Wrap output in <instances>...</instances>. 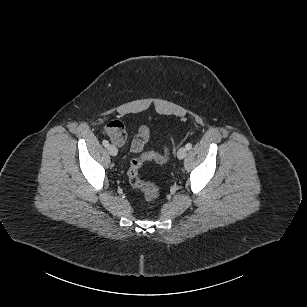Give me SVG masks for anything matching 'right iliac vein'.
<instances>
[{
	"instance_id": "right-iliac-vein-1",
	"label": "right iliac vein",
	"mask_w": 307,
	"mask_h": 307,
	"mask_svg": "<svg viewBox=\"0 0 307 307\" xmlns=\"http://www.w3.org/2000/svg\"><path fill=\"white\" fill-rule=\"evenodd\" d=\"M107 149H108L109 154L112 156H116L118 153L117 148L113 144L109 145Z\"/></svg>"
}]
</instances>
